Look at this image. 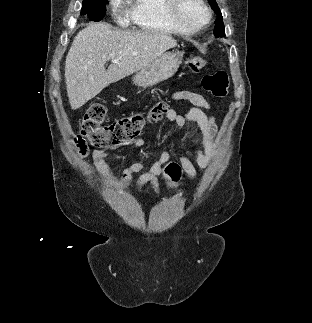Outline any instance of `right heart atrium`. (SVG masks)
Returning <instances> with one entry per match:
<instances>
[{
    "label": "right heart atrium",
    "mask_w": 312,
    "mask_h": 323,
    "mask_svg": "<svg viewBox=\"0 0 312 323\" xmlns=\"http://www.w3.org/2000/svg\"><path fill=\"white\" fill-rule=\"evenodd\" d=\"M108 3H109L110 5H113V4L115 3V0H108Z\"/></svg>",
    "instance_id": "obj_1"
}]
</instances>
